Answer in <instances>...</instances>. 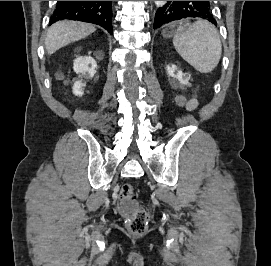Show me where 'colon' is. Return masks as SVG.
Returning <instances> with one entry per match:
<instances>
[{
  "label": "colon",
  "mask_w": 271,
  "mask_h": 266,
  "mask_svg": "<svg viewBox=\"0 0 271 266\" xmlns=\"http://www.w3.org/2000/svg\"><path fill=\"white\" fill-rule=\"evenodd\" d=\"M120 196L125 201L134 200L136 198L135 190L132 184L126 183L122 186ZM127 228L135 235H144L147 231L148 214L142 208H138L126 220Z\"/></svg>",
  "instance_id": "1"
}]
</instances>
